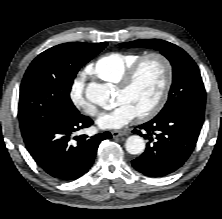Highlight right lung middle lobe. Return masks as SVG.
Returning a JSON list of instances; mask_svg holds the SVG:
<instances>
[{"mask_svg":"<svg viewBox=\"0 0 222 219\" xmlns=\"http://www.w3.org/2000/svg\"><path fill=\"white\" fill-rule=\"evenodd\" d=\"M107 46L72 42L54 46L38 55L20 86L18 117L22 135L45 125L63 112H77L70 90L78 70Z\"/></svg>","mask_w":222,"mask_h":219,"instance_id":"obj_1","label":"right lung middle lobe"}]
</instances>
